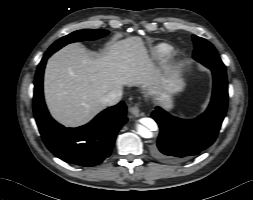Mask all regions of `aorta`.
Here are the masks:
<instances>
[{"label":"aorta","instance_id":"1","mask_svg":"<svg viewBox=\"0 0 253 200\" xmlns=\"http://www.w3.org/2000/svg\"><path fill=\"white\" fill-rule=\"evenodd\" d=\"M156 127L157 125L154 120L145 118L143 125L137 126V132L143 138H151L153 136L152 129H155Z\"/></svg>","mask_w":253,"mask_h":200}]
</instances>
